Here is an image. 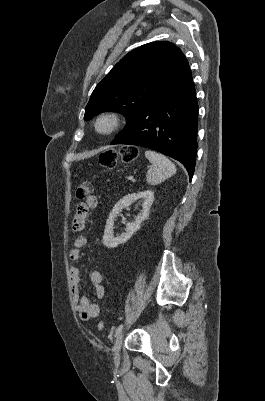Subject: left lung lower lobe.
Segmentation results:
<instances>
[{"label": "left lung lower lobe", "instance_id": "1", "mask_svg": "<svg viewBox=\"0 0 265 401\" xmlns=\"http://www.w3.org/2000/svg\"><path fill=\"white\" fill-rule=\"evenodd\" d=\"M198 104L190 67L171 83L111 144L147 147L181 162L194 174Z\"/></svg>", "mask_w": 265, "mask_h": 401}]
</instances>
